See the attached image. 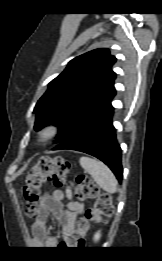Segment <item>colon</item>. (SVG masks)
<instances>
[{
    "instance_id": "1",
    "label": "colon",
    "mask_w": 162,
    "mask_h": 261,
    "mask_svg": "<svg viewBox=\"0 0 162 261\" xmlns=\"http://www.w3.org/2000/svg\"><path fill=\"white\" fill-rule=\"evenodd\" d=\"M69 171V162L62 157H41L27 172L23 185V196L28 204L27 214H36L34 204L40 197L42 186L51 182L55 186H63ZM73 193L77 199H96L94 206L78 221L76 229L63 242L64 245L83 247L87 231L93 222H98L104 216H111L113 205L111 196L100 194L99 187L86 175H77L73 182Z\"/></svg>"
}]
</instances>
